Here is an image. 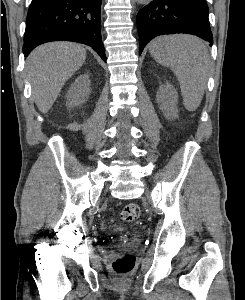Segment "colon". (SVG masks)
Returning a JSON list of instances; mask_svg holds the SVG:
<instances>
[{
  "label": "colon",
  "instance_id": "colon-1",
  "mask_svg": "<svg viewBox=\"0 0 245 300\" xmlns=\"http://www.w3.org/2000/svg\"><path fill=\"white\" fill-rule=\"evenodd\" d=\"M140 216V207L135 203L126 205L121 211V218L125 222H133ZM135 257L131 253L118 255L112 262L113 271L122 278L127 277L134 269Z\"/></svg>",
  "mask_w": 245,
  "mask_h": 300
}]
</instances>
